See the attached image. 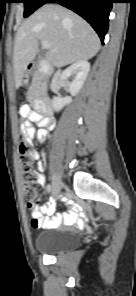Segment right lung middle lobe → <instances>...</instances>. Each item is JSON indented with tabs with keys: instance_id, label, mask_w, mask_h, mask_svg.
Instances as JSON below:
<instances>
[{
	"instance_id": "right-lung-middle-lobe-1",
	"label": "right lung middle lobe",
	"mask_w": 136,
	"mask_h": 296,
	"mask_svg": "<svg viewBox=\"0 0 136 296\" xmlns=\"http://www.w3.org/2000/svg\"><path fill=\"white\" fill-rule=\"evenodd\" d=\"M45 1L46 0H18V2L25 4L24 17H28L32 14L36 9L45 4Z\"/></svg>"
}]
</instances>
